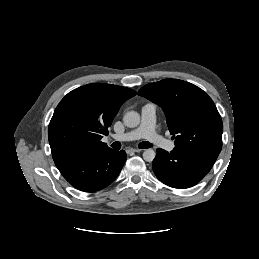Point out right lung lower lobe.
I'll return each instance as SVG.
<instances>
[{"mask_svg":"<svg viewBox=\"0 0 259 259\" xmlns=\"http://www.w3.org/2000/svg\"><path fill=\"white\" fill-rule=\"evenodd\" d=\"M127 155L124 150L109 149L75 160L55 162L62 176L76 189L95 192L107 187L119 175Z\"/></svg>","mask_w":259,"mask_h":259,"instance_id":"right-lung-lower-lobe-1","label":"right lung lower lobe"}]
</instances>
